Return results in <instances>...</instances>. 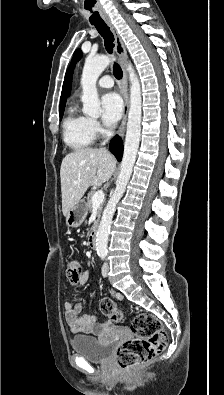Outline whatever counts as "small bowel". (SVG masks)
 Instances as JSON below:
<instances>
[{"mask_svg":"<svg viewBox=\"0 0 224 395\" xmlns=\"http://www.w3.org/2000/svg\"><path fill=\"white\" fill-rule=\"evenodd\" d=\"M89 280V274L84 272L78 280V283L85 284ZM116 298L122 299L118 293L114 294ZM64 317L69 330L74 334L100 335L104 331L113 329L111 320L98 322L95 316H89L82 313L80 303L73 304L66 302L64 304Z\"/></svg>","mask_w":224,"mask_h":395,"instance_id":"small-bowel-1","label":"small bowel"}]
</instances>
